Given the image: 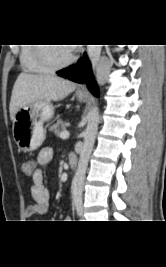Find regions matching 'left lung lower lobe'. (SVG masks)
I'll return each mask as SVG.
<instances>
[{
    "label": "left lung lower lobe",
    "mask_w": 166,
    "mask_h": 267,
    "mask_svg": "<svg viewBox=\"0 0 166 267\" xmlns=\"http://www.w3.org/2000/svg\"><path fill=\"white\" fill-rule=\"evenodd\" d=\"M56 73L59 76L67 78L74 82L80 84L85 83L90 92L93 95L98 96L97 85L92 74L90 63L86 56L85 59H81V61L77 65L59 70Z\"/></svg>",
    "instance_id": "left-lung-lower-lobe-1"
}]
</instances>
